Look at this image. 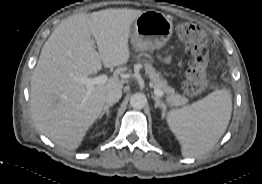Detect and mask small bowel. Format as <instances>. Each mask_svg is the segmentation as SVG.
Returning a JSON list of instances; mask_svg holds the SVG:
<instances>
[{
    "mask_svg": "<svg viewBox=\"0 0 262 184\" xmlns=\"http://www.w3.org/2000/svg\"><path fill=\"white\" fill-rule=\"evenodd\" d=\"M165 61H166V62H169V58H166Z\"/></svg>",
    "mask_w": 262,
    "mask_h": 184,
    "instance_id": "c3829d8e",
    "label": "small bowel"
}]
</instances>
